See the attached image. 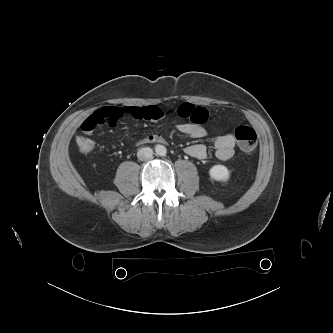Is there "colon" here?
<instances>
[{"label":"colon","instance_id":"5ec220e1","mask_svg":"<svg viewBox=\"0 0 333 333\" xmlns=\"http://www.w3.org/2000/svg\"><path fill=\"white\" fill-rule=\"evenodd\" d=\"M234 135L239 148L244 153L250 154L255 150L257 146V134L253 128L240 125L235 129ZM76 144L78 149L83 153L90 152L94 147L93 141L84 136H78L76 138Z\"/></svg>","mask_w":333,"mask_h":333}]
</instances>
